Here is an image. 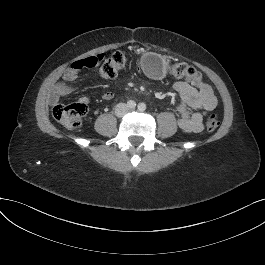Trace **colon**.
Returning a JSON list of instances; mask_svg holds the SVG:
<instances>
[{
  "instance_id": "5ec220e1",
  "label": "colon",
  "mask_w": 265,
  "mask_h": 265,
  "mask_svg": "<svg viewBox=\"0 0 265 265\" xmlns=\"http://www.w3.org/2000/svg\"><path fill=\"white\" fill-rule=\"evenodd\" d=\"M127 54L116 51L108 56L102 54L93 55L74 62L70 68L72 73L85 68L99 66L100 74L104 79H113L125 67ZM168 75L174 78H186L196 82H202L200 73L186 63H177L168 67ZM87 114V106L83 103L57 104L53 108L54 118L71 130H76L82 124ZM208 131H214L219 126V121L214 113L210 112L205 121Z\"/></svg>"
}]
</instances>
